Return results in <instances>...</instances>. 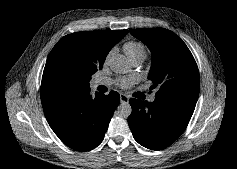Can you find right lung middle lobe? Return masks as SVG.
<instances>
[{
  "label": "right lung middle lobe",
  "instance_id": "1",
  "mask_svg": "<svg viewBox=\"0 0 237 169\" xmlns=\"http://www.w3.org/2000/svg\"><path fill=\"white\" fill-rule=\"evenodd\" d=\"M76 67H79V68H86L84 65H82V64H78V65H74L73 64V62H71V61H67V62H65V63H63L62 65H61V71L62 72H69L71 69H74V68H76ZM86 69H88V68H86ZM101 69V68H100ZM98 70V69H97ZM96 69L95 70H90V71H88V74H87V78H86V84H89V81H90V79H91V75L93 74V73H95L96 71H97Z\"/></svg>",
  "mask_w": 237,
  "mask_h": 169
}]
</instances>
